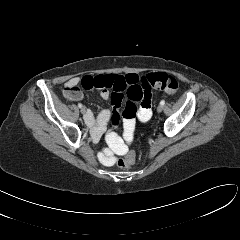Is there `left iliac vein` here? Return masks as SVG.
<instances>
[{
	"instance_id": "4c4485c4",
	"label": "left iliac vein",
	"mask_w": 240,
	"mask_h": 240,
	"mask_svg": "<svg viewBox=\"0 0 240 240\" xmlns=\"http://www.w3.org/2000/svg\"><path fill=\"white\" fill-rule=\"evenodd\" d=\"M162 110H163V106L162 105H159L158 107H157V112H162Z\"/></svg>"
}]
</instances>
